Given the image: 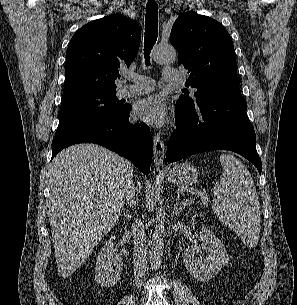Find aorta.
<instances>
[{
	"mask_svg": "<svg viewBox=\"0 0 297 305\" xmlns=\"http://www.w3.org/2000/svg\"><path fill=\"white\" fill-rule=\"evenodd\" d=\"M176 57L177 52L174 47L170 45H159L152 52V58L159 64L172 63L176 60ZM164 222L165 216L163 214L156 216V226L152 235L149 250V259L152 270H157L161 264L166 236Z\"/></svg>",
	"mask_w": 297,
	"mask_h": 305,
	"instance_id": "762f6f07",
	"label": "aorta"
}]
</instances>
